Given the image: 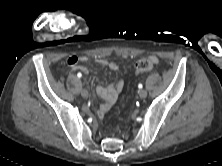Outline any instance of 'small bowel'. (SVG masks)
<instances>
[{
  "instance_id": "c3829d8e",
  "label": "small bowel",
  "mask_w": 222,
  "mask_h": 166,
  "mask_svg": "<svg viewBox=\"0 0 222 166\" xmlns=\"http://www.w3.org/2000/svg\"><path fill=\"white\" fill-rule=\"evenodd\" d=\"M154 62L157 61L155 57H150ZM87 57L85 56H70L67 59V65L72 69H79L84 74H88L89 71L86 67L80 66V62H85ZM97 63L102 66H106L113 71H117L119 66L117 63L113 61H108L103 58L97 59ZM124 88V81L119 80L114 84L109 85L108 87H103L101 85H97L94 89L97 96L103 99V103L100 105L98 109V116L103 117L105 113L112 107V105L116 102L118 95Z\"/></svg>"
}]
</instances>
